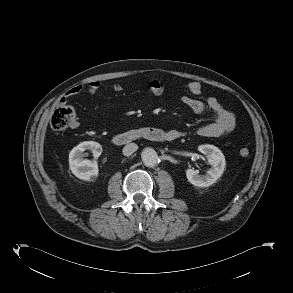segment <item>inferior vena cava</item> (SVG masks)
Here are the masks:
<instances>
[{
	"label": "inferior vena cava",
	"mask_w": 293,
	"mask_h": 293,
	"mask_svg": "<svg viewBox=\"0 0 293 293\" xmlns=\"http://www.w3.org/2000/svg\"><path fill=\"white\" fill-rule=\"evenodd\" d=\"M138 149V145L135 143H129L127 145L124 146L123 148V154L125 156H130L132 155L135 151H137Z\"/></svg>",
	"instance_id": "inferior-vena-cava-1"
}]
</instances>
